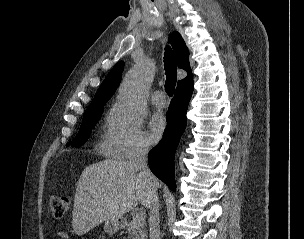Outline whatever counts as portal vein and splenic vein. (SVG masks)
I'll return each mask as SVG.
<instances>
[{
    "label": "portal vein and splenic vein",
    "mask_w": 304,
    "mask_h": 239,
    "mask_svg": "<svg viewBox=\"0 0 304 239\" xmlns=\"http://www.w3.org/2000/svg\"><path fill=\"white\" fill-rule=\"evenodd\" d=\"M145 219V213L142 211H139L136 213L135 218L133 219L134 221H144Z\"/></svg>",
    "instance_id": "portal-vein-and-splenic-vein-1"
}]
</instances>
